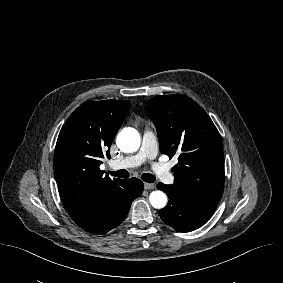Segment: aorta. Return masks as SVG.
Instances as JSON below:
<instances>
[{
  "label": "aorta",
  "mask_w": 283,
  "mask_h": 283,
  "mask_svg": "<svg viewBox=\"0 0 283 283\" xmlns=\"http://www.w3.org/2000/svg\"><path fill=\"white\" fill-rule=\"evenodd\" d=\"M116 144L122 152H136L140 147V135L134 128H124L117 135ZM149 202L154 208L162 209L166 206L168 198L163 191L155 190L150 193Z\"/></svg>",
  "instance_id": "762f6f07"
}]
</instances>
